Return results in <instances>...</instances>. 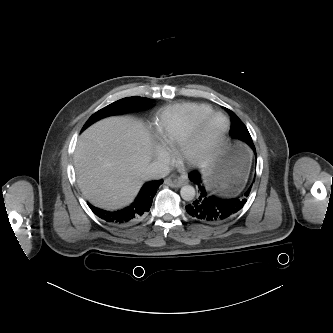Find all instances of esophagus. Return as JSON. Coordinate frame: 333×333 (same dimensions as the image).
Masks as SVG:
<instances>
[{
	"label": "esophagus",
	"mask_w": 333,
	"mask_h": 333,
	"mask_svg": "<svg viewBox=\"0 0 333 333\" xmlns=\"http://www.w3.org/2000/svg\"><path fill=\"white\" fill-rule=\"evenodd\" d=\"M187 182L185 176H174L165 179L164 183L172 188H178Z\"/></svg>",
	"instance_id": "34e87169"
}]
</instances>
